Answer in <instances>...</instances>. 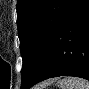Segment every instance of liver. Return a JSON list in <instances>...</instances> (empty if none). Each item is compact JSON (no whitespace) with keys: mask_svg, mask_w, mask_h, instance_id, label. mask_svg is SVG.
I'll return each instance as SVG.
<instances>
[{"mask_svg":"<svg viewBox=\"0 0 89 89\" xmlns=\"http://www.w3.org/2000/svg\"><path fill=\"white\" fill-rule=\"evenodd\" d=\"M53 82V80H51V81H49L48 83H46V84H49V83H52ZM36 89H40V88H36Z\"/></svg>","mask_w":89,"mask_h":89,"instance_id":"obj_1","label":"liver"}]
</instances>
